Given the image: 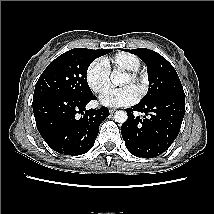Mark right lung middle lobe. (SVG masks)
I'll return each instance as SVG.
<instances>
[{"instance_id":"1","label":"right lung middle lobe","mask_w":214,"mask_h":214,"mask_svg":"<svg viewBox=\"0 0 214 214\" xmlns=\"http://www.w3.org/2000/svg\"><path fill=\"white\" fill-rule=\"evenodd\" d=\"M111 51L112 49L75 48L63 53L53 60L39 77L33 100L48 95H93L87 83V69L96 58Z\"/></svg>"}]
</instances>
